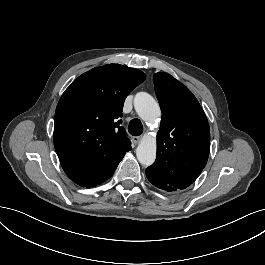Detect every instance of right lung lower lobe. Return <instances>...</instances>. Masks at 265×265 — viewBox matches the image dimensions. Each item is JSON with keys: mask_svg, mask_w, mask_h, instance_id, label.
Returning a JSON list of instances; mask_svg holds the SVG:
<instances>
[{"mask_svg": "<svg viewBox=\"0 0 265 265\" xmlns=\"http://www.w3.org/2000/svg\"><path fill=\"white\" fill-rule=\"evenodd\" d=\"M131 149H115L104 157L79 158L59 157L61 166L67 176L82 187H94L112 176L124 154Z\"/></svg>", "mask_w": 265, "mask_h": 265, "instance_id": "1", "label": "right lung lower lobe"}]
</instances>
